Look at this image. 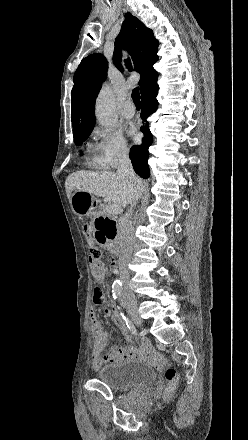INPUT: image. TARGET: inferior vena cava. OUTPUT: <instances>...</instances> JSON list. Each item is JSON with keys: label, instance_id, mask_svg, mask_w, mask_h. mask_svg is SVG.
<instances>
[{"label": "inferior vena cava", "instance_id": "inferior-vena-cava-1", "mask_svg": "<svg viewBox=\"0 0 248 440\" xmlns=\"http://www.w3.org/2000/svg\"><path fill=\"white\" fill-rule=\"evenodd\" d=\"M117 174L121 176L128 177L130 180L135 182L138 186V194L136 199L131 203V207L128 210V213H126L123 222L120 226V254L118 259V264L120 268V274L121 279L125 283L129 278L128 273V261L130 259V256L132 254V251L134 249L135 245V233H134V227L132 225L131 216L133 213V207L136 205L140 195H141V182L140 179L136 176L131 160L129 158L128 152L123 151L119 155V163H118V170Z\"/></svg>", "mask_w": 248, "mask_h": 440}]
</instances>
